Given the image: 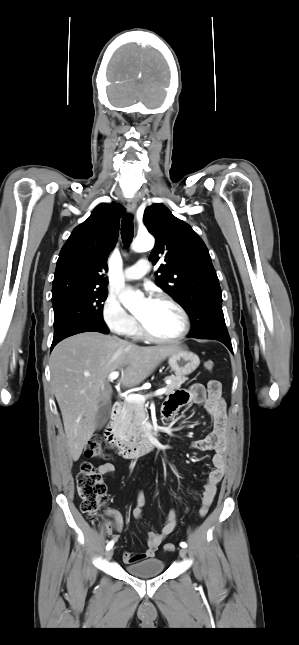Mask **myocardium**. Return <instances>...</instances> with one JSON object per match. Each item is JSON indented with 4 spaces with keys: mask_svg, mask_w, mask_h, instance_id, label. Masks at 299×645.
Masks as SVG:
<instances>
[{
    "mask_svg": "<svg viewBox=\"0 0 299 645\" xmlns=\"http://www.w3.org/2000/svg\"><path fill=\"white\" fill-rule=\"evenodd\" d=\"M155 301L165 302V303L171 305L173 308H175L177 310V312L179 313L180 317H181L182 328L179 331V333L174 335V336H171V337H158V336L153 335L146 328V326L143 324V322L137 317L138 330H139V333L141 334V336L143 338H145V339H147V340H149L151 342H155V343H173V342H177V341H180L183 338H185L187 336V334L189 333V331H190V318H189V315H188L187 311L185 310V308L179 302H177L175 299H173L172 297H170L168 295H165V294L158 295L156 297Z\"/></svg>",
    "mask_w": 299,
    "mask_h": 645,
    "instance_id": "obj_1",
    "label": "myocardium"
}]
</instances>
